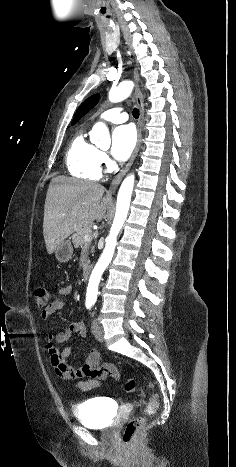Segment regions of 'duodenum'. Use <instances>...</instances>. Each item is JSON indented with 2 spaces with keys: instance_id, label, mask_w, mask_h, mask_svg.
Here are the masks:
<instances>
[{
  "instance_id": "duodenum-1",
  "label": "duodenum",
  "mask_w": 236,
  "mask_h": 467,
  "mask_svg": "<svg viewBox=\"0 0 236 467\" xmlns=\"http://www.w3.org/2000/svg\"><path fill=\"white\" fill-rule=\"evenodd\" d=\"M91 266L90 265H86L82 271V280L83 281H87L89 276H90V273H91Z\"/></svg>"
}]
</instances>
